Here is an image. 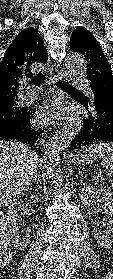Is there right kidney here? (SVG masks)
Returning <instances> with one entry per match:
<instances>
[{
	"instance_id": "1",
	"label": "right kidney",
	"mask_w": 113,
	"mask_h": 279,
	"mask_svg": "<svg viewBox=\"0 0 113 279\" xmlns=\"http://www.w3.org/2000/svg\"><path fill=\"white\" fill-rule=\"evenodd\" d=\"M38 195L34 194L30 197L29 201L32 203L38 202ZM24 204L21 200H18L11 204L7 212L8 220V232L12 238L13 246L16 249H25L30 241L31 229L25 228L22 233L19 232L17 221L19 218L18 212L23 211Z\"/></svg>"
}]
</instances>
